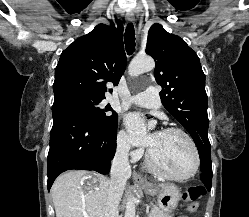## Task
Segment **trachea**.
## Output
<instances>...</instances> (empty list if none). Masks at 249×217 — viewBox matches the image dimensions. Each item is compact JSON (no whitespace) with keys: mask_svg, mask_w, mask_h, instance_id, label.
Wrapping results in <instances>:
<instances>
[{"mask_svg":"<svg viewBox=\"0 0 249 217\" xmlns=\"http://www.w3.org/2000/svg\"><path fill=\"white\" fill-rule=\"evenodd\" d=\"M135 31L132 23H129L125 30V47L128 55L135 51Z\"/></svg>","mask_w":249,"mask_h":217,"instance_id":"1","label":"trachea"}]
</instances>
